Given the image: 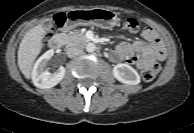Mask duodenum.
I'll return each instance as SVG.
<instances>
[{
    "mask_svg": "<svg viewBox=\"0 0 194 133\" xmlns=\"http://www.w3.org/2000/svg\"><path fill=\"white\" fill-rule=\"evenodd\" d=\"M75 42H76L77 44H80V43L85 44L86 42H87V43H91V42H93V41H92V39H90V38H85V37L80 38V37H77V38L75 39ZM62 44H63V36H62L61 34L55 35V36L52 37V38L50 39V41H49V47H50L51 49H53V50L59 49V48L62 46Z\"/></svg>",
    "mask_w": 194,
    "mask_h": 133,
    "instance_id": "duodenum-1",
    "label": "duodenum"
}]
</instances>
